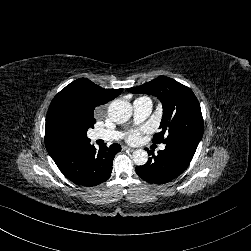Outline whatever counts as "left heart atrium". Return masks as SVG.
I'll use <instances>...</instances> for the list:
<instances>
[{
    "label": "left heart atrium",
    "instance_id": "1",
    "mask_svg": "<svg viewBox=\"0 0 251 251\" xmlns=\"http://www.w3.org/2000/svg\"><path fill=\"white\" fill-rule=\"evenodd\" d=\"M149 130L148 127H141L136 129H129L126 134L125 138L128 142H135L141 139L142 135Z\"/></svg>",
    "mask_w": 251,
    "mask_h": 251
}]
</instances>
